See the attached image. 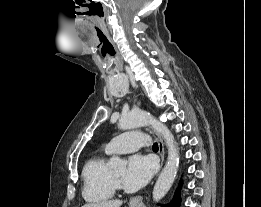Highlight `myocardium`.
<instances>
[{"label":"myocardium","instance_id":"obj_1","mask_svg":"<svg viewBox=\"0 0 261 207\" xmlns=\"http://www.w3.org/2000/svg\"><path fill=\"white\" fill-rule=\"evenodd\" d=\"M111 179H112L113 184L115 185V187L120 188L122 186V181L115 176L113 171H111Z\"/></svg>","mask_w":261,"mask_h":207}]
</instances>
